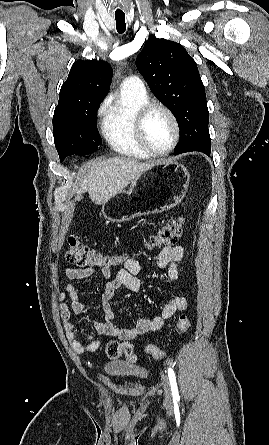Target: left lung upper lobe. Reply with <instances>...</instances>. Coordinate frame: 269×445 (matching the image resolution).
I'll return each instance as SVG.
<instances>
[{"instance_id": "left-lung-upper-lobe-1", "label": "left lung upper lobe", "mask_w": 269, "mask_h": 445, "mask_svg": "<svg viewBox=\"0 0 269 445\" xmlns=\"http://www.w3.org/2000/svg\"><path fill=\"white\" fill-rule=\"evenodd\" d=\"M136 66L153 94L178 122L181 138L174 154L199 151L209 156L205 88L197 64L186 49L174 41L150 35L136 59Z\"/></svg>"}]
</instances>
